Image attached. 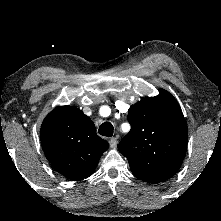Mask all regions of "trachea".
<instances>
[{"label": "trachea", "mask_w": 221, "mask_h": 221, "mask_svg": "<svg viewBox=\"0 0 221 221\" xmlns=\"http://www.w3.org/2000/svg\"><path fill=\"white\" fill-rule=\"evenodd\" d=\"M99 134L106 137H111L114 133L113 125L110 122H104L98 130Z\"/></svg>", "instance_id": "1"}]
</instances>
